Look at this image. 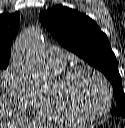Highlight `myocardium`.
Here are the masks:
<instances>
[{
	"label": "myocardium",
	"instance_id": "f54148a6",
	"mask_svg": "<svg viewBox=\"0 0 125 128\" xmlns=\"http://www.w3.org/2000/svg\"><path fill=\"white\" fill-rule=\"evenodd\" d=\"M83 71H88L97 76L104 87L106 103L103 109L95 114H84L79 112L71 104L67 96L68 85L78 73ZM53 95L59 108L71 119L81 123L94 122L104 117L111 109L113 98L111 86L106 77L99 70L89 65H78L65 71L56 83L53 89Z\"/></svg>",
	"mask_w": 125,
	"mask_h": 128
}]
</instances>
